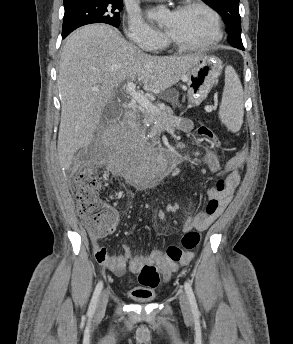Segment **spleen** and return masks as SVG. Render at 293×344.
I'll return each instance as SVG.
<instances>
[{"label": "spleen", "instance_id": "3e777b00", "mask_svg": "<svg viewBox=\"0 0 293 344\" xmlns=\"http://www.w3.org/2000/svg\"><path fill=\"white\" fill-rule=\"evenodd\" d=\"M243 116L242 85L236 71L231 66H227L225 69V86L219 108V118L228 130L237 132L243 124Z\"/></svg>", "mask_w": 293, "mask_h": 344}]
</instances>
